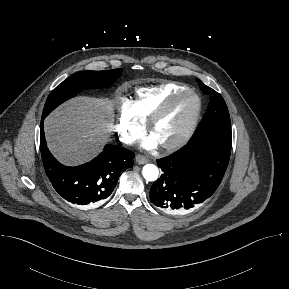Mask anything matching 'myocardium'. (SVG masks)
I'll return each mask as SVG.
<instances>
[{"label": "myocardium", "mask_w": 289, "mask_h": 289, "mask_svg": "<svg viewBox=\"0 0 289 289\" xmlns=\"http://www.w3.org/2000/svg\"><path fill=\"white\" fill-rule=\"evenodd\" d=\"M184 96H190L194 100V109L190 119L181 134L174 140L160 144L165 150H174L184 145L194 133L198 124L202 102L199 94L191 88L181 89L168 96L148 117L146 121L147 132L151 135L154 125L170 110L174 103Z\"/></svg>", "instance_id": "myocardium-1"}]
</instances>
